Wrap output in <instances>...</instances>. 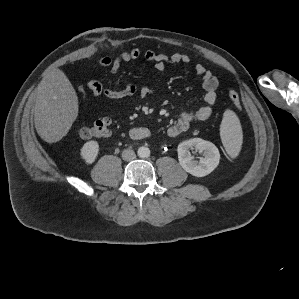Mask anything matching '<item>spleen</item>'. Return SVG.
Segmentation results:
<instances>
[{
    "mask_svg": "<svg viewBox=\"0 0 299 299\" xmlns=\"http://www.w3.org/2000/svg\"><path fill=\"white\" fill-rule=\"evenodd\" d=\"M222 143L231 158H235L242 145V129L239 118L232 110H226L220 125Z\"/></svg>",
    "mask_w": 299,
    "mask_h": 299,
    "instance_id": "3e777b00",
    "label": "spleen"
}]
</instances>
